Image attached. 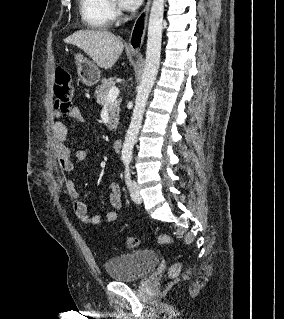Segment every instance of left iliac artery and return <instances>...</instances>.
Here are the masks:
<instances>
[{
    "instance_id": "obj_1",
    "label": "left iliac artery",
    "mask_w": 284,
    "mask_h": 319,
    "mask_svg": "<svg viewBox=\"0 0 284 319\" xmlns=\"http://www.w3.org/2000/svg\"><path fill=\"white\" fill-rule=\"evenodd\" d=\"M129 162H130L129 160H126V170H125V178H126V183L128 186L131 185Z\"/></svg>"
}]
</instances>
